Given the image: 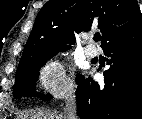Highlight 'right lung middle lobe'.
<instances>
[{
	"label": "right lung middle lobe",
	"mask_w": 142,
	"mask_h": 119,
	"mask_svg": "<svg viewBox=\"0 0 142 119\" xmlns=\"http://www.w3.org/2000/svg\"><path fill=\"white\" fill-rule=\"evenodd\" d=\"M58 52H53L50 54L43 55L33 60L27 65L19 67L16 73V80L14 85V95L17 98L31 97L35 93V83L39 77L40 68L46 63L48 59L57 54ZM81 75H77L76 81L79 80ZM43 101H48L52 98L51 95H44L41 93L36 94Z\"/></svg>",
	"instance_id": "dd1d6c3e"
}]
</instances>
